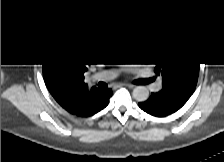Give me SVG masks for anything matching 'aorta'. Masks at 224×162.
<instances>
[{
  "instance_id": "aorta-1",
  "label": "aorta",
  "mask_w": 224,
  "mask_h": 162,
  "mask_svg": "<svg viewBox=\"0 0 224 162\" xmlns=\"http://www.w3.org/2000/svg\"><path fill=\"white\" fill-rule=\"evenodd\" d=\"M133 98L138 102H144L149 98V91L144 86H137L132 92Z\"/></svg>"
}]
</instances>
